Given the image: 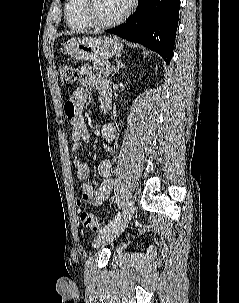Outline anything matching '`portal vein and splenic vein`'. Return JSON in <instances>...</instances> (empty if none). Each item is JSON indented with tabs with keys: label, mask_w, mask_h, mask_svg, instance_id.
I'll use <instances>...</instances> for the list:
<instances>
[{
	"label": "portal vein and splenic vein",
	"mask_w": 239,
	"mask_h": 303,
	"mask_svg": "<svg viewBox=\"0 0 239 303\" xmlns=\"http://www.w3.org/2000/svg\"><path fill=\"white\" fill-rule=\"evenodd\" d=\"M112 70V68L111 67H109V71H111Z\"/></svg>",
	"instance_id": "18ae733b"
}]
</instances>
